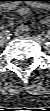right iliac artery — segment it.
<instances>
[{
  "label": "right iliac artery",
  "instance_id": "1",
  "mask_svg": "<svg viewBox=\"0 0 50 111\" xmlns=\"http://www.w3.org/2000/svg\"><path fill=\"white\" fill-rule=\"evenodd\" d=\"M5 36H8V31L3 32Z\"/></svg>",
  "mask_w": 50,
  "mask_h": 111
}]
</instances>
